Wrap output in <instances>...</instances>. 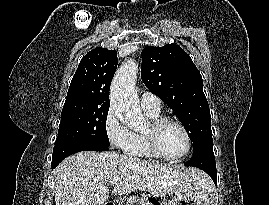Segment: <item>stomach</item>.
Segmentation results:
<instances>
[{
	"label": "stomach",
	"mask_w": 269,
	"mask_h": 205,
	"mask_svg": "<svg viewBox=\"0 0 269 205\" xmlns=\"http://www.w3.org/2000/svg\"><path fill=\"white\" fill-rule=\"evenodd\" d=\"M139 205H209V197L206 190L193 189L176 194L168 202L162 195L148 194L144 196Z\"/></svg>",
	"instance_id": "stomach-1"
}]
</instances>
